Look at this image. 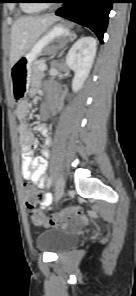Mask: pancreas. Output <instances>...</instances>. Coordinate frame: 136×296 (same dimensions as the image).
I'll return each mask as SVG.
<instances>
[{
  "mask_svg": "<svg viewBox=\"0 0 136 296\" xmlns=\"http://www.w3.org/2000/svg\"><path fill=\"white\" fill-rule=\"evenodd\" d=\"M42 64L40 62L34 63L33 77L39 78L43 76V72L39 69Z\"/></svg>",
  "mask_w": 136,
  "mask_h": 296,
  "instance_id": "obj_1",
  "label": "pancreas"
}]
</instances>
